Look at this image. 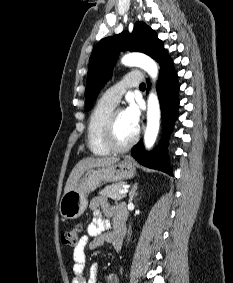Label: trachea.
Segmentation results:
<instances>
[{"mask_svg":"<svg viewBox=\"0 0 233 283\" xmlns=\"http://www.w3.org/2000/svg\"><path fill=\"white\" fill-rule=\"evenodd\" d=\"M140 89H145L146 88V85L144 83H142L140 86H139Z\"/></svg>","mask_w":233,"mask_h":283,"instance_id":"3493384b","label":"trachea"}]
</instances>
